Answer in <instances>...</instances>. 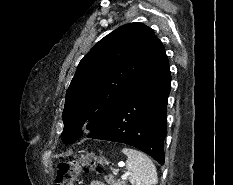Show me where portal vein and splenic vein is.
Instances as JSON below:
<instances>
[{"label": "portal vein and splenic vein", "instance_id": "1", "mask_svg": "<svg viewBox=\"0 0 233 185\" xmlns=\"http://www.w3.org/2000/svg\"><path fill=\"white\" fill-rule=\"evenodd\" d=\"M130 175V172H125L122 176L121 179L125 180L127 177Z\"/></svg>", "mask_w": 233, "mask_h": 185}]
</instances>
